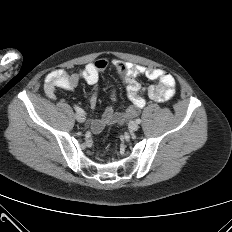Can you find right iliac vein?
I'll use <instances>...</instances> for the list:
<instances>
[{
    "label": "right iliac vein",
    "instance_id": "obj_1",
    "mask_svg": "<svg viewBox=\"0 0 232 232\" xmlns=\"http://www.w3.org/2000/svg\"><path fill=\"white\" fill-rule=\"evenodd\" d=\"M75 118L78 122L83 123L85 121V116L84 114L76 113Z\"/></svg>",
    "mask_w": 232,
    "mask_h": 232
}]
</instances>
